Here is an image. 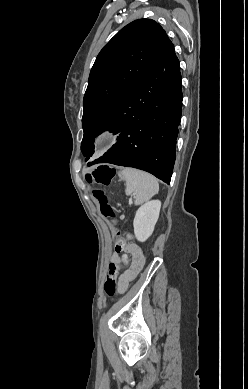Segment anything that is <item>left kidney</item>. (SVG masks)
Here are the masks:
<instances>
[{
  "label": "left kidney",
  "instance_id": "left-kidney-1",
  "mask_svg": "<svg viewBox=\"0 0 248 389\" xmlns=\"http://www.w3.org/2000/svg\"><path fill=\"white\" fill-rule=\"evenodd\" d=\"M161 202L152 200L141 206L135 215L133 226L134 234L138 241H146L153 233L159 218Z\"/></svg>",
  "mask_w": 248,
  "mask_h": 389
}]
</instances>
